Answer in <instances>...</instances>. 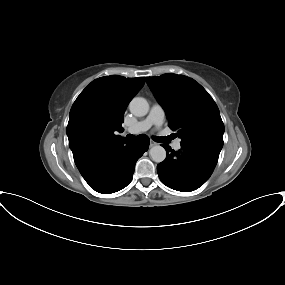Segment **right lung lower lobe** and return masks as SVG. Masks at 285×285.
<instances>
[{
    "instance_id": "1",
    "label": "right lung lower lobe",
    "mask_w": 285,
    "mask_h": 285,
    "mask_svg": "<svg viewBox=\"0 0 285 285\" xmlns=\"http://www.w3.org/2000/svg\"><path fill=\"white\" fill-rule=\"evenodd\" d=\"M148 147L149 138L142 134L133 142L120 139L91 150L74 161L92 189L109 194L123 189L131 182L136 161Z\"/></svg>"
}]
</instances>
